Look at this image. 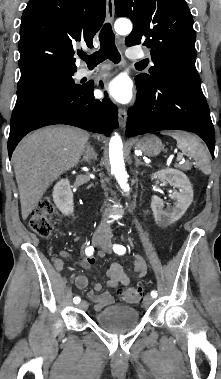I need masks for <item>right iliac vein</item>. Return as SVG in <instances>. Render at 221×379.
Here are the masks:
<instances>
[{
    "label": "right iliac vein",
    "instance_id": "obj_1",
    "mask_svg": "<svg viewBox=\"0 0 221 379\" xmlns=\"http://www.w3.org/2000/svg\"><path fill=\"white\" fill-rule=\"evenodd\" d=\"M104 238L102 237V236H100V235H94L93 236V239H92V242H93V244L94 245H101V244H103L104 243ZM80 309H82V310H85V309H87V307H88V305H87V303H86V301H82L80 304H79V306H78Z\"/></svg>",
    "mask_w": 221,
    "mask_h": 379
}]
</instances>
